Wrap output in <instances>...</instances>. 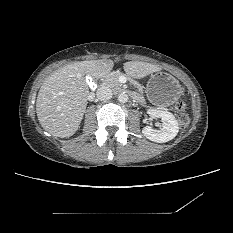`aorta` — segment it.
I'll return each instance as SVG.
<instances>
[{
    "mask_svg": "<svg viewBox=\"0 0 233 233\" xmlns=\"http://www.w3.org/2000/svg\"><path fill=\"white\" fill-rule=\"evenodd\" d=\"M118 101L121 103H126L128 101V95L124 92L118 95Z\"/></svg>",
    "mask_w": 233,
    "mask_h": 233,
    "instance_id": "aorta-1",
    "label": "aorta"
}]
</instances>
